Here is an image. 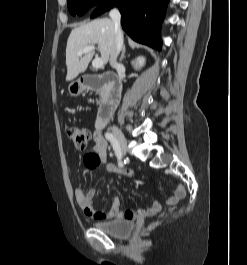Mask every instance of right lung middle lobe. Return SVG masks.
Instances as JSON below:
<instances>
[{"mask_svg": "<svg viewBox=\"0 0 247 265\" xmlns=\"http://www.w3.org/2000/svg\"><path fill=\"white\" fill-rule=\"evenodd\" d=\"M108 0H67L70 13L75 15H83L94 5H101Z\"/></svg>", "mask_w": 247, "mask_h": 265, "instance_id": "right-lung-middle-lobe-1", "label": "right lung middle lobe"}]
</instances>
